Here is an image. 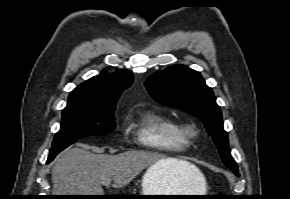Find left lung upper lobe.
Wrapping results in <instances>:
<instances>
[{
	"mask_svg": "<svg viewBox=\"0 0 290 199\" xmlns=\"http://www.w3.org/2000/svg\"><path fill=\"white\" fill-rule=\"evenodd\" d=\"M150 96L160 104L177 108L200 119L212 136L224 164L232 171L238 166L232 158L228 135L214 93L198 71L184 65H172L152 74L145 82Z\"/></svg>",
	"mask_w": 290,
	"mask_h": 199,
	"instance_id": "left-lung-upper-lobe-1",
	"label": "left lung upper lobe"
}]
</instances>
